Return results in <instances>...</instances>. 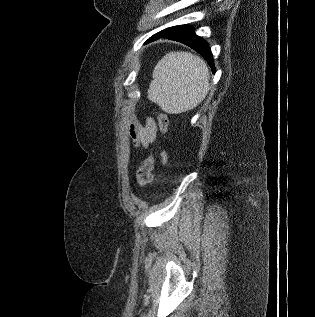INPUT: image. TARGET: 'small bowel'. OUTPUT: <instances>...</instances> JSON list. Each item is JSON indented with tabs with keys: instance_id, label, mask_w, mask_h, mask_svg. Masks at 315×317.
Listing matches in <instances>:
<instances>
[{
	"instance_id": "small-bowel-1",
	"label": "small bowel",
	"mask_w": 315,
	"mask_h": 317,
	"mask_svg": "<svg viewBox=\"0 0 315 317\" xmlns=\"http://www.w3.org/2000/svg\"><path fill=\"white\" fill-rule=\"evenodd\" d=\"M126 130L135 147L147 149L156 142L157 125L151 117L147 116L145 118V123L142 124L136 116H130L127 120ZM160 156L162 162L166 163V153L162 151Z\"/></svg>"
}]
</instances>
